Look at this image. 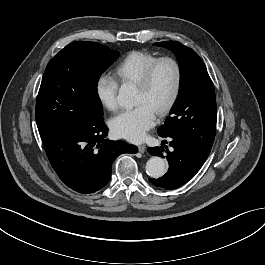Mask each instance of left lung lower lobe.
Here are the masks:
<instances>
[{
    "label": "left lung lower lobe",
    "mask_w": 265,
    "mask_h": 265,
    "mask_svg": "<svg viewBox=\"0 0 265 265\" xmlns=\"http://www.w3.org/2000/svg\"><path fill=\"white\" fill-rule=\"evenodd\" d=\"M170 146L173 150L166 151L169 163L168 172L158 179H149L154 186L167 190L176 189L188 182L199 171L208 157L201 154L194 145L182 139L170 137ZM163 151L162 147L148 148L151 155L164 158Z\"/></svg>",
    "instance_id": "0a47b994"
}]
</instances>
